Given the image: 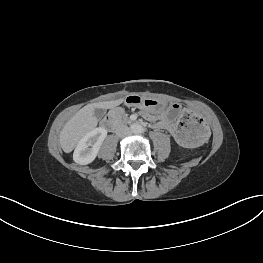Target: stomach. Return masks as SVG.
Returning <instances> with one entry per match:
<instances>
[{"instance_id":"stomach-1","label":"stomach","mask_w":263,"mask_h":263,"mask_svg":"<svg viewBox=\"0 0 263 263\" xmlns=\"http://www.w3.org/2000/svg\"><path fill=\"white\" fill-rule=\"evenodd\" d=\"M125 104L154 113L159 112L160 123L171 129L176 134L177 141L186 148L199 146L207 138V131L201 116L190 111L184 104L164 105L156 99L135 97V95L128 96Z\"/></svg>"}]
</instances>
